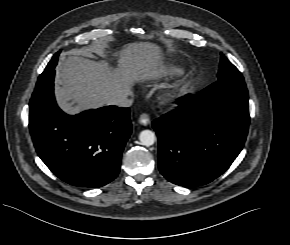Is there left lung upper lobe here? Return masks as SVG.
Returning <instances> with one entry per match:
<instances>
[{"label": "left lung upper lobe", "instance_id": "obj_1", "mask_svg": "<svg viewBox=\"0 0 290 245\" xmlns=\"http://www.w3.org/2000/svg\"><path fill=\"white\" fill-rule=\"evenodd\" d=\"M218 81L224 80H244L240 71L222 54Z\"/></svg>", "mask_w": 290, "mask_h": 245}]
</instances>
